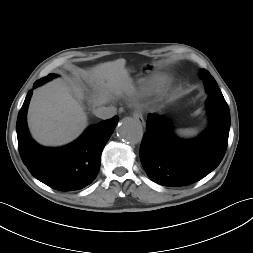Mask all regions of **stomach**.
Listing matches in <instances>:
<instances>
[{
  "label": "stomach",
  "mask_w": 253,
  "mask_h": 253,
  "mask_svg": "<svg viewBox=\"0 0 253 253\" xmlns=\"http://www.w3.org/2000/svg\"><path fill=\"white\" fill-rule=\"evenodd\" d=\"M144 68H145V71L148 72L151 69V65H145Z\"/></svg>",
  "instance_id": "0dacf381"
}]
</instances>
